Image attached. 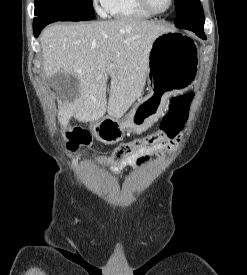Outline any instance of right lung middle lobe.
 I'll return each mask as SVG.
<instances>
[{
  "label": "right lung middle lobe",
  "mask_w": 247,
  "mask_h": 275,
  "mask_svg": "<svg viewBox=\"0 0 247 275\" xmlns=\"http://www.w3.org/2000/svg\"><path fill=\"white\" fill-rule=\"evenodd\" d=\"M37 16L34 21L42 18H55L58 21H87L95 18L92 0H35Z\"/></svg>",
  "instance_id": "right-lung-middle-lobe-1"
}]
</instances>
